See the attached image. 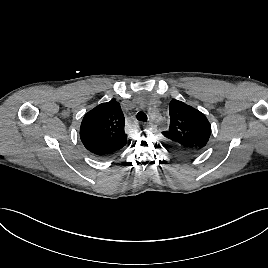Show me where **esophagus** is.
I'll return each mask as SVG.
<instances>
[{
    "label": "esophagus",
    "mask_w": 268,
    "mask_h": 268,
    "mask_svg": "<svg viewBox=\"0 0 268 268\" xmlns=\"http://www.w3.org/2000/svg\"><path fill=\"white\" fill-rule=\"evenodd\" d=\"M143 126H146L147 124L146 123H142Z\"/></svg>",
    "instance_id": "1"
}]
</instances>
